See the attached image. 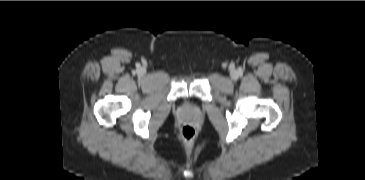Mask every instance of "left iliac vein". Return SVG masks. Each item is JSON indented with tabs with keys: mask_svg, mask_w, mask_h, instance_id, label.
I'll return each instance as SVG.
<instances>
[{
	"mask_svg": "<svg viewBox=\"0 0 365 180\" xmlns=\"http://www.w3.org/2000/svg\"><path fill=\"white\" fill-rule=\"evenodd\" d=\"M231 77L233 79H236L237 78V73L235 71L231 72Z\"/></svg>",
	"mask_w": 365,
	"mask_h": 180,
	"instance_id": "left-iliac-vein-1",
	"label": "left iliac vein"
}]
</instances>
